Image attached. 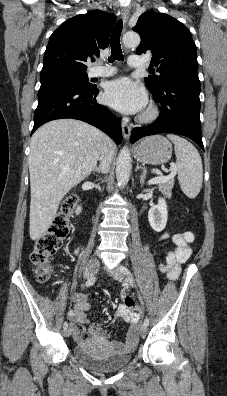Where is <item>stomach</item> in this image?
Segmentation results:
<instances>
[{
	"instance_id": "1",
	"label": "stomach",
	"mask_w": 227,
	"mask_h": 396,
	"mask_svg": "<svg viewBox=\"0 0 227 396\" xmlns=\"http://www.w3.org/2000/svg\"><path fill=\"white\" fill-rule=\"evenodd\" d=\"M171 156V143L160 135L143 139L134 149L136 160L145 164H164L169 161Z\"/></svg>"
}]
</instances>
